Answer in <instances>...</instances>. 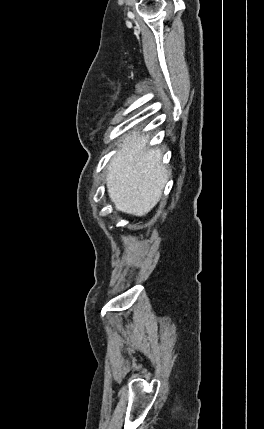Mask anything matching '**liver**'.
Instances as JSON below:
<instances>
[{
    "label": "liver",
    "mask_w": 264,
    "mask_h": 429,
    "mask_svg": "<svg viewBox=\"0 0 264 429\" xmlns=\"http://www.w3.org/2000/svg\"><path fill=\"white\" fill-rule=\"evenodd\" d=\"M149 135L126 136L108 165L107 190L118 211L144 216L161 198L170 173L159 148L148 149Z\"/></svg>",
    "instance_id": "obj_1"
}]
</instances>
